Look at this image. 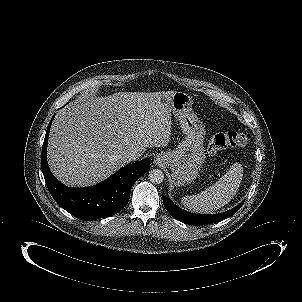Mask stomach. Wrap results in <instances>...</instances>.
I'll use <instances>...</instances> for the list:
<instances>
[{
    "label": "stomach",
    "mask_w": 302,
    "mask_h": 302,
    "mask_svg": "<svg viewBox=\"0 0 302 302\" xmlns=\"http://www.w3.org/2000/svg\"><path fill=\"white\" fill-rule=\"evenodd\" d=\"M192 104L191 96L185 92L173 95L170 110L179 120L185 138L174 150L161 154L165 165L171 170L172 182L177 186L194 181L206 158L203 145L205 129L194 114Z\"/></svg>",
    "instance_id": "0dacf381"
}]
</instances>
